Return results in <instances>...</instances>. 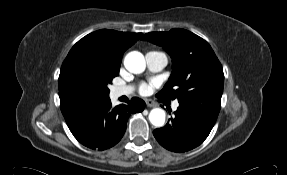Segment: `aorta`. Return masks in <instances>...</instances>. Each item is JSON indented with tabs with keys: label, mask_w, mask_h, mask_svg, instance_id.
<instances>
[{
	"label": "aorta",
	"mask_w": 287,
	"mask_h": 175,
	"mask_svg": "<svg viewBox=\"0 0 287 175\" xmlns=\"http://www.w3.org/2000/svg\"><path fill=\"white\" fill-rule=\"evenodd\" d=\"M125 68L134 74L144 72L146 61L142 53L138 51L129 52L124 59ZM166 114L161 108H154L149 113V121L155 127H162L165 123Z\"/></svg>",
	"instance_id": "aorta-1"
}]
</instances>
